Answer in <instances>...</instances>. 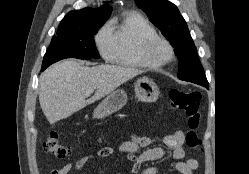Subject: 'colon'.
I'll use <instances>...</instances> for the list:
<instances>
[{
  "label": "colon",
  "instance_id": "colon-1",
  "mask_svg": "<svg viewBox=\"0 0 249 174\" xmlns=\"http://www.w3.org/2000/svg\"><path fill=\"white\" fill-rule=\"evenodd\" d=\"M169 99L174 109L184 111L187 116L186 144L190 148L202 150V140L198 133L201 122L200 94L172 88L169 90ZM44 149L50 155L58 158L66 157L71 153L70 147L61 142L59 134L56 132L48 136L44 143Z\"/></svg>",
  "mask_w": 249,
  "mask_h": 174
}]
</instances>
